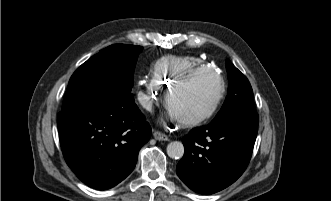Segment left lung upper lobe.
Instances as JSON below:
<instances>
[{
	"mask_svg": "<svg viewBox=\"0 0 331 201\" xmlns=\"http://www.w3.org/2000/svg\"><path fill=\"white\" fill-rule=\"evenodd\" d=\"M226 69L229 79L228 95L214 120L256 114L253 90L248 79L228 59Z\"/></svg>",
	"mask_w": 331,
	"mask_h": 201,
	"instance_id": "5c2ea615",
	"label": "left lung upper lobe"
}]
</instances>
